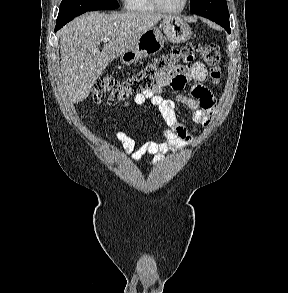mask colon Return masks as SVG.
<instances>
[{
	"mask_svg": "<svg viewBox=\"0 0 288 293\" xmlns=\"http://www.w3.org/2000/svg\"><path fill=\"white\" fill-rule=\"evenodd\" d=\"M193 52H197L210 66V78L214 84H218L221 79L220 48L215 43H205L163 54L122 82L111 75L102 76L94 84L93 99L96 102L106 100L109 104H117L149 90L159 75L178 68L192 57Z\"/></svg>",
	"mask_w": 288,
	"mask_h": 293,
	"instance_id": "colon-1",
	"label": "colon"
}]
</instances>
